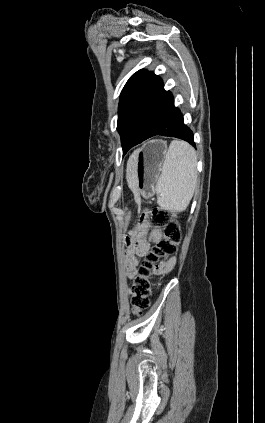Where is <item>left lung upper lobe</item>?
<instances>
[{
	"instance_id": "left-lung-upper-lobe-1",
	"label": "left lung upper lobe",
	"mask_w": 265,
	"mask_h": 423,
	"mask_svg": "<svg viewBox=\"0 0 265 423\" xmlns=\"http://www.w3.org/2000/svg\"><path fill=\"white\" fill-rule=\"evenodd\" d=\"M148 71L146 70H139L134 73L129 80L127 81L126 85L124 86L121 95H120V102L118 107V125L117 130L121 136V142L123 144L125 138V128L127 118L133 103V100L148 75Z\"/></svg>"
}]
</instances>
